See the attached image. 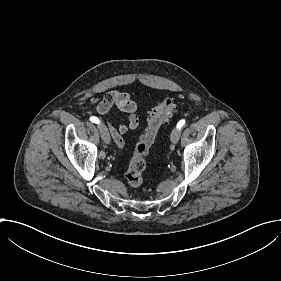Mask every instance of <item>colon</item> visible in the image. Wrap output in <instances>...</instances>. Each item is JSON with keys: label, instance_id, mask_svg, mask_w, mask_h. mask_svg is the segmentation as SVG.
Listing matches in <instances>:
<instances>
[{"label": "colon", "instance_id": "obj_1", "mask_svg": "<svg viewBox=\"0 0 281 281\" xmlns=\"http://www.w3.org/2000/svg\"><path fill=\"white\" fill-rule=\"evenodd\" d=\"M175 108V100L164 97L149 114L134 150L132 159L124 173V182L132 188H137L143 183L146 159L156 142L160 129Z\"/></svg>", "mask_w": 281, "mask_h": 281}]
</instances>
